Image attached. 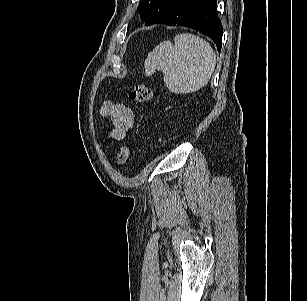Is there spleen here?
<instances>
[{
    "mask_svg": "<svg viewBox=\"0 0 307 301\" xmlns=\"http://www.w3.org/2000/svg\"><path fill=\"white\" fill-rule=\"evenodd\" d=\"M216 65V55L204 39L181 33L174 37V45L164 41L148 54L145 73L151 76L162 71L164 83L173 93L198 91L210 80Z\"/></svg>",
    "mask_w": 307,
    "mask_h": 301,
    "instance_id": "1",
    "label": "spleen"
}]
</instances>
